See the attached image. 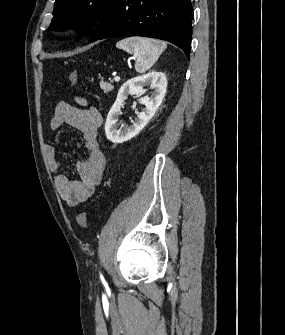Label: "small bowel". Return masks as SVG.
Masks as SVG:
<instances>
[{
	"label": "small bowel",
	"mask_w": 285,
	"mask_h": 335,
	"mask_svg": "<svg viewBox=\"0 0 285 335\" xmlns=\"http://www.w3.org/2000/svg\"><path fill=\"white\" fill-rule=\"evenodd\" d=\"M77 106L59 101L50 121L53 131L68 125L82 134V143L87 155L76 162L77 179H70L60 173L55 177V186L60 197L69 206H77L87 201L95 192L106 168V157L98 142V131L102 124L100 112L89 106L84 98L77 97ZM49 168L57 172L61 169L58 149L46 146Z\"/></svg>",
	"instance_id": "obj_1"
}]
</instances>
